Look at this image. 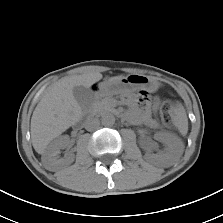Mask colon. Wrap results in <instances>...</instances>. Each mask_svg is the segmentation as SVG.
I'll return each instance as SVG.
<instances>
[{
	"instance_id": "5ec220e1",
	"label": "colon",
	"mask_w": 223,
	"mask_h": 223,
	"mask_svg": "<svg viewBox=\"0 0 223 223\" xmlns=\"http://www.w3.org/2000/svg\"><path fill=\"white\" fill-rule=\"evenodd\" d=\"M173 108V102L171 100H166L164 102V122L167 126L171 127L173 125L172 117L170 116V111Z\"/></svg>"
}]
</instances>
